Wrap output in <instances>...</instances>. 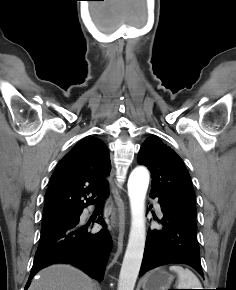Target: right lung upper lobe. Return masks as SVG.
I'll use <instances>...</instances> for the list:
<instances>
[{
  "mask_svg": "<svg viewBox=\"0 0 236 290\" xmlns=\"http://www.w3.org/2000/svg\"><path fill=\"white\" fill-rule=\"evenodd\" d=\"M110 170L105 144L95 137L82 139L55 168L46 192L43 217L81 213L84 207L103 200L108 193L105 177ZM90 192L93 196L87 199L85 194Z\"/></svg>",
  "mask_w": 236,
  "mask_h": 290,
  "instance_id": "right-lung-upper-lobe-1",
  "label": "right lung upper lobe"
}]
</instances>
